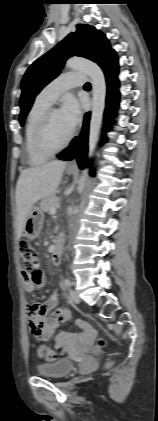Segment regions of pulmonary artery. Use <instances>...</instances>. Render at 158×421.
<instances>
[{"mask_svg":"<svg viewBox=\"0 0 158 421\" xmlns=\"http://www.w3.org/2000/svg\"><path fill=\"white\" fill-rule=\"evenodd\" d=\"M86 77L78 72H65L47 84L39 93L38 97L52 104L57 97L66 90L84 84Z\"/></svg>","mask_w":158,"mask_h":421,"instance_id":"e3ab8cb5","label":"pulmonary artery"}]
</instances>
